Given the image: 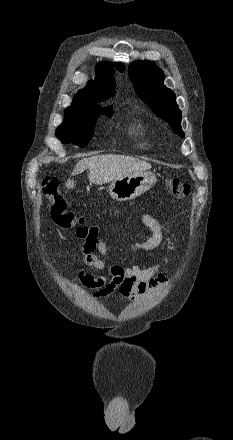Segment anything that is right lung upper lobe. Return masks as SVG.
<instances>
[{
  "instance_id": "right-lung-upper-lobe-1",
  "label": "right lung upper lobe",
  "mask_w": 233,
  "mask_h": 440,
  "mask_svg": "<svg viewBox=\"0 0 233 440\" xmlns=\"http://www.w3.org/2000/svg\"><path fill=\"white\" fill-rule=\"evenodd\" d=\"M115 68L120 72L125 70L122 63H116ZM113 70L112 63H100L96 69L95 80L89 81L84 89L78 91L70 107L101 108L98 103L114 96L115 93ZM104 110H112V106Z\"/></svg>"
}]
</instances>
